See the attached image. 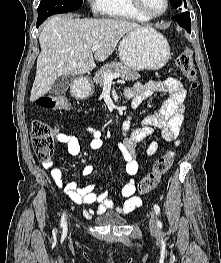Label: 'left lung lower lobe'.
Here are the masks:
<instances>
[{"label":"left lung lower lobe","instance_id":"1","mask_svg":"<svg viewBox=\"0 0 221 263\" xmlns=\"http://www.w3.org/2000/svg\"><path fill=\"white\" fill-rule=\"evenodd\" d=\"M172 20L176 21L188 33H191V19H190V13L189 12L180 13V14L172 17Z\"/></svg>","mask_w":221,"mask_h":263}]
</instances>
